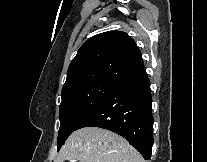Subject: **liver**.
Listing matches in <instances>:
<instances>
[{
	"label": "liver",
	"mask_w": 207,
	"mask_h": 162,
	"mask_svg": "<svg viewBox=\"0 0 207 162\" xmlns=\"http://www.w3.org/2000/svg\"><path fill=\"white\" fill-rule=\"evenodd\" d=\"M145 162L142 155L118 134L84 127L66 140L55 162Z\"/></svg>",
	"instance_id": "6515ba94"
}]
</instances>
